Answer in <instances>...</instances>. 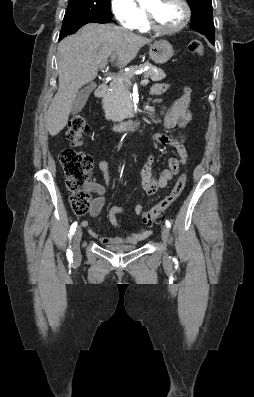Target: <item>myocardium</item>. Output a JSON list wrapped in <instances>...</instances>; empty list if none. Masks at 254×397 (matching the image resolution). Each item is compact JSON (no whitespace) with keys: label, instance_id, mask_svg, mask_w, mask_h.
I'll list each match as a JSON object with an SVG mask.
<instances>
[{"label":"myocardium","instance_id":"f54148a6","mask_svg":"<svg viewBox=\"0 0 254 397\" xmlns=\"http://www.w3.org/2000/svg\"><path fill=\"white\" fill-rule=\"evenodd\" d=\"M177 2H179L183 8L184 14H183V18L182 21L175 27L173 28H162L159 25H157L153 14L151 13V11H149L148 9L145 10L146 12V22L148 27L159 33V34H165V35H169V34H175L180 32L182 29H184L186 27V25L189 22L190 16H191V10H190V6L187 3L186 0H177Z\"/></svg>","mask_w":254,"mask_h":397}]
</instances>
